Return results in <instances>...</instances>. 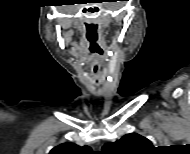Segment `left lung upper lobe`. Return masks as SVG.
<instances>
[{
	"label": "left lung upper lobe",
	"mask_w": 190,
	"mask_h": 154,
	"mask_svg": "<svg viewBox=\"0 0 190 154\" xmlns=\"http://www.w3.org/2000/svg\"><path fill=\"white\" fill-rule=\"evenodd\" d=\"M154 149L152 143L145 137L136 133L127 134L116 142L103 146L104 154H142Z\"/></svg>",
	"instance_id": "1"
}]
</instances>
